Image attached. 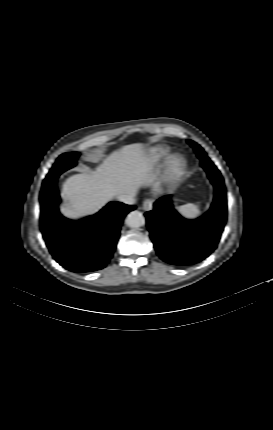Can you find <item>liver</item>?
Wrapping results in <instances>:
<instances>
[{
    "label": "liver",
    "instance_id": "obj_1",
    "mask_svg": "<svg viewBox=\"0 0 273 430\" xmlns=\"http://www.w3.org/2000/svg\"><path fill=\"white\" fill-rule=\"evenodd\" d=\"M152 169L142 144L124 146L95 171L66 179L62 197L67 206L61 208V214L70 220H82L99 212L118 195L137 193L141 186H152L159 192Z\"/></svg>",
    "mask_w": 273,
    "mask_h": 430
}]
</instances>
